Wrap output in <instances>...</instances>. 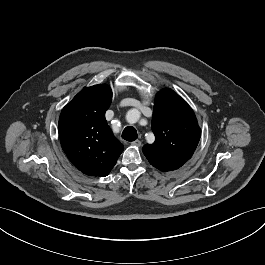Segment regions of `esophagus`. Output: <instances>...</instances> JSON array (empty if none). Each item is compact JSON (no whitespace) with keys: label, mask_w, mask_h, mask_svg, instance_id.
<instances>
[{"label":"esophagus","mask_w":265,"mask_h":265,"mask_svg":"<svg viewBox=\"0 0 265 265\" xmlns=\"http://www.w3.org/2000/svg\"><path fill=\"white\" fill-rule=\"evenodd\" d=\"M133 146L140 147L141 146V141L140 140H135L131 143Z\"/></svg>","instance_id":"esophagus-1"}]
</instances>
